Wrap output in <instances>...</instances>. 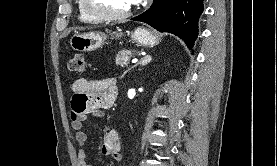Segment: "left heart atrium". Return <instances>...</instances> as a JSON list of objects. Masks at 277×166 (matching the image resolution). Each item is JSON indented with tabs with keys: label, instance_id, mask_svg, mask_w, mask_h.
I'll list each match as a JSON object with an SVG mask.
<instances>
[{
	"label": "left heart atrium",
	"instance_id": "left-heart-atrium-1",
	"mask_svg": "<svg viewBox=\"0 0 277 166\" xmlns=\"http://www.w3.org/2000/svg\"><path fill=\"white\" fill-rule=\"evenodd\" d=\"M142 0H133L134 4L141 2Z\"/></svg>",
	"mask_w": 277,
	"mask_h": 166
}]
</instances>
